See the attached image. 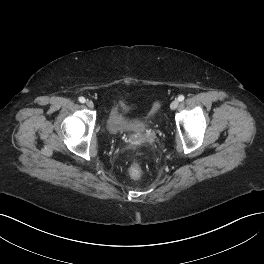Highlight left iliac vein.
<instances>
[{
  "mask_svg": "<svg viewBox=\"0 0 264 264\" xmlns=\"http://www.w3.org/2000/svg\"><path fill=\"white\" fill-rule=\"evenodd\" d=\"M178 105H179V101H178L177 99H175V100H173V101L171 102V104H170V108H171L172 110H174V109H176V108L178 107Z\"/></svg>",
  "mask_w": 264,
  "mask_h": 264,
  "instance_id": "1",
  "label": "left iliac vein"
}]
</instances>
